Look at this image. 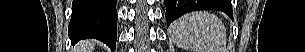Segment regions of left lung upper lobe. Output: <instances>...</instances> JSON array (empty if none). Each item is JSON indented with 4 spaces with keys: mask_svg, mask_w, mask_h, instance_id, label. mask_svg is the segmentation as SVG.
Segmentation results:
<instances>
[{
    "mask_svg": "<svg viewBox=\"0 0 305 52\" xmlns=\"http://www.w3.org/2000/svg\"><path fill=\"white\" fill-rule=\"evenodd\" d=\"M209 3L217 8H225L229 5V1L227 0H208Z\"/></svg>",
    "mask_w": 305,
    "mask_h": 52,
    "instance_id": "1",
    "label": "left lung upper lobe"
}]
</instances>
